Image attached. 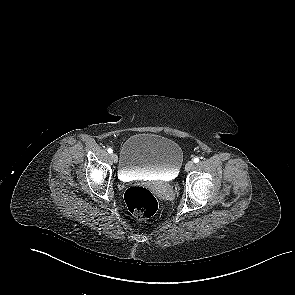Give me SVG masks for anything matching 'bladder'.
I'll list each match as a JSON object with an SVG mask.
<instances>
[{
  "instance_id": "obj_1",
  "label": "bladder",
  "mask_w": 295,
  "mask_h": 295,
  "mask_svg": "<svg viewBox=\"0 0 295 295\" xmlns=\"http://www.w3.org/2000/svg\"><path fill=\"white\" fill-rule=\"evenodd\" d=\"M182 164L183 152L177 142L153 133H139L124 142L119 173L124 178L156 175L172 180Z\"/></svg>"
}]
</instances>
